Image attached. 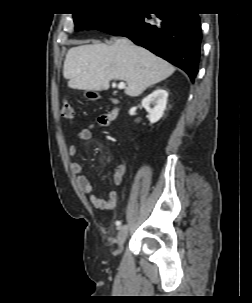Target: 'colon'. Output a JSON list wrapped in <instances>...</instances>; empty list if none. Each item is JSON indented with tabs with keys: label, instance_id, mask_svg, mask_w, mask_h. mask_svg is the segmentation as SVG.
<instances>
[{
	"label": "colon",
	"instance_id": "5ec220e1",
	"mask_svg": "<svg viewBox=\"0 0 252 303\" xmlns=\"http://www.w3.org/2000/svg\"><path fill=\"white\" fill-rule=\"evenodd\" d=\"M61 115L65 119H71L74 117V108L73 104L70 101H64L61 108Z\"/></svg>",
	"mask_w": 252,
	"mask_h": 303
}]
</instances>
